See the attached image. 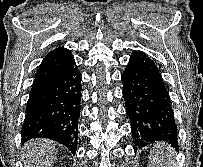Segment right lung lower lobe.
I'll list each match as a JSON object with an SVG mask.
<instances>
[{"instance_id": "right-lung-lower-lobe-1", "label": "right lung lower lobe", "mask_w": 203, "mask_h": 167, "mask_svg": "<svg viewBox=\"0 0 203 167\" xmlns=\"http://www.w3.org/2000/svg\"><path fill=\"white\" fill-rule=\"evenodd\" d=\"M81 75L73 58L62 71L38 86H33L22 126V142L48 138L77 148L80 115Z\"/></svg>"}]
</instances>
